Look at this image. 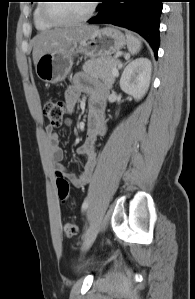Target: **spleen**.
Instances as JSON below:
<instances>
[{
	"mask_svg": "<svg viewBox=\"0 0 195 299\" xmlns=\"http://www.w3.org/2000/svg\"><path fill=\"white\" fill-rule=\"evenodd\" d=\"M126 38H127V48H128V51L132 54V55H135L137 54L141 47H142V42L141 40L132 35L131 33H126Z\"/></svg>",
	"mask_w": 195,
	"mask_h": 299,
	"instance_id": "spleen-1",
	"label": "spleen"
}]
</instances>
